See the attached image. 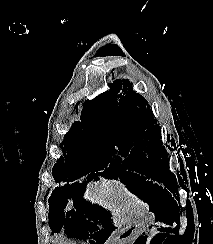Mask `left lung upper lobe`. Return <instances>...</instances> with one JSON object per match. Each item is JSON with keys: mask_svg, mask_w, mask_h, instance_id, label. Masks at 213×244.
<instances>
[{"mask_svg": "<svg viewBox=\"0 0 213 244\" xmlns=\"http://www.w3.org/2000/svg\"><path fill=\"white\" fill-rule=\"evenodd\" d=\"M113 75V71H112ZM114 76V75H113ZM102 95L116 128L126 136L128 150L135 164L151 171L171 191L178 192L175 175L169 171V158L161 141V128L155 125L152 111L146 108V99L133 91L128 81L116 80ZM122 93H121V92Z\"/></svg>", "mask_w": 213, "mask_h": 244, "instance_id": "obj_1", "label": "left lung upper lobe"}]
</instances>
